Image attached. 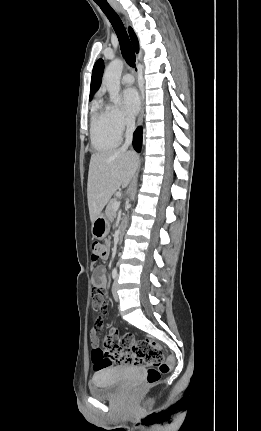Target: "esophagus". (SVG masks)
I'll return each mask as SVG.
<instances>
[{"label": "esophagus", "instance_id": "1", "mask_svg": "<svg viewBox=\"0 0 261 431\" xmlns=\"http://www.w3.org/2000/svg\"><path fill=\"white\" fill-rule=\"evenodd\" d=\"M116 9L119 10L118 6L116 4H113ZM144 91L140 88V113L138 116L137 125L140 126L143 122L144 118V111H145V102H144Z\"/></svg>", "mask_w": 261, "mask_h": 431}]
</instances>
